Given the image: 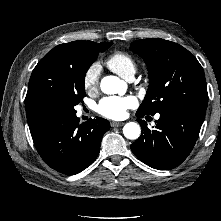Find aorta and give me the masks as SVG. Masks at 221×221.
Instances as JSON below:
<instances>
[{"label": "aorta", "instance_id": "762f6f07", "mask_svg": "<svg viewBox=\"0 0 221 221\" xmlns=\"http://www.w3.org/2000/svg\"><path fill=\"white\" fill-rule=\"evenodd\" d=\"M100 88L105 94H124L126 83L116 76H105L100 83ZM123 134L127 139L136 140L141 134L140 125L136 122H128L123 127Z\"/></svg>", "mask_w": 221, "mask_h": 221}]
</instances>
